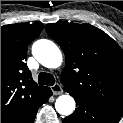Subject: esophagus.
Wrapping results in <instances>:
<instances>
[{
	"label": "esophagus",
	"instance_id": "34e87169",
	"mask_svg": "<svg viewBox=\"0 0 123 123\" xmlns=\"http://www.w3.org/2000/svg\"><path fill=\"white\" fill-rule=\"evenodd\" d=\"M51 90L54 95H60L62 94V86L59 83H55L52 87Z\"/></svg>",
	"mask_w": 123,
	"mask_h": 123
}]
</instances>
